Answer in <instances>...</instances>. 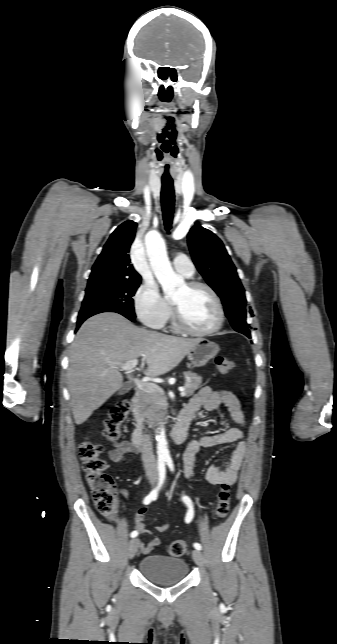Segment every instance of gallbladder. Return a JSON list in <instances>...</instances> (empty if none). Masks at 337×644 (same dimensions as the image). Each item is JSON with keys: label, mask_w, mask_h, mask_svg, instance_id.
Here are the masks:
<instances>
[{"label": "gallbladder", "mask_w": 337, "mask_h": 644, "mask_svg": "<svg viewBox=\"0 0 337 644\" xmlns=\"http://www.w3.org/2000/svg\"><path fill=\"white\" fill-rule=\"evenodd\" d=\"M129 391V386L126 384H123L122 387L120 388L118 394L123 395Z\"/></svg>", "instance_id": "1"}]
</instances>
